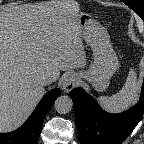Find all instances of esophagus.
Wrapping results in <instances>:
<instances>
[{
	"mask_svg": "<svg viewBox=\"0 0 144 144\" xmlns=\"http://www.w3.org/2000/svg\"><path fill=\"white\" fill-rule=\"evenodd\" d=\"M78 80L75 74L67 75L62 82V89L65 92H70L77 85Z\"/></svg>",
	"mask_w": 144,
	"mask_h": 144,
	"instance_id": "34e87169",
	"label": "esophagus"
}]
</instances>
